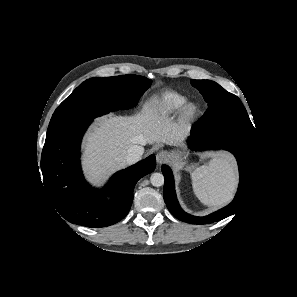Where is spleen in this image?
<instances>
[{
    "label": "spleen",
    "instance_id": "3e777b00",
    "mask_svg": "<svg viewBox=\"0 0 297 297\" xmlns=\"http://www.w3.org/2000/svg\"><path fill=\"white\" fill-rule=\"evenodd\" d=\"M236 180L234 164L227 155L213 158L208 165H203L192 173L195 195L209 206L228 202Z\"/></svg>",
    "mask_w": 297,
    "mask_h": 297
}]
</instances>
